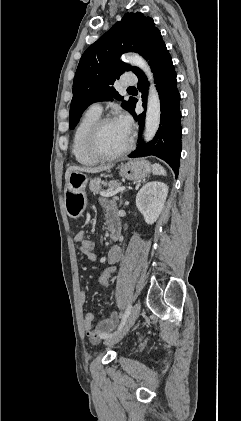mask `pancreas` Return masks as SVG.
<instances>
[{
    "label": "pancreas",
    "mask_w": 241,
    "mask_h": 421,
    "mask_svg": "<svg viewBox=\"0 0 241 421\" xmlns=\"http://www.w3.org/2000/svg\"><path fill=\"white\" fill-rule=\"evenodd\" d=\"M100 184H103L104 186H108L109 187L108 191H111V190L116 189V188L121 186V183L119 181H116V180L106 182V181H101L100 178H95V179L90 181V184H89L90 191L93 194L100 193L102 191V188H101Z\"/></svg>",
    "instance_id": "pancreas-1"
}]
</instances>
